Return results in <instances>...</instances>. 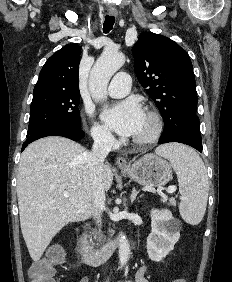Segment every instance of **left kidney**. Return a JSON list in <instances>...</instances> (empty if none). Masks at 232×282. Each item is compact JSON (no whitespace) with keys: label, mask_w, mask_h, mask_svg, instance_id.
I'll return each instance as SVG.
<instances>
[{"label":"left kidney","mask_w":232,"mask_h":282,"mask_svg":"<svg viewBox=\"0 0 232 282\" xmlns=\"http://www.w3.org/2000/svg\"><path fill=\"white\" fill-rule=\"evenodd\" d=\"M151 233L147 238V253L152 261H162L180 238V223L167 210L152 209Z\"/></svg>","instance_id":"obj_1"}]
</instances>
